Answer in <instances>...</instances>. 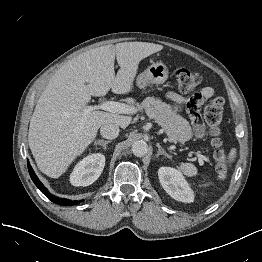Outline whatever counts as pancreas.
<instances>
[{
	"instance_id": "1",
	"label": "pancreas",
	"mask_w": 262,
	"mask_h": 262,
	"mask_svg": "<svg viewBox=\"0 0 262 262\" xmlns=\"http://www.w3.org/2000/svg\"><path fill=\"white\" fill-rule=\"evenodd\" d=\"M147 116L154 119L173 142H185L191 137V127L186 119L172 108L154 97H147L141 106Z\"/></svg>"
}]
</instances>
